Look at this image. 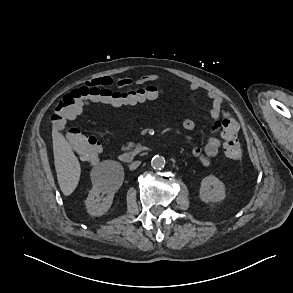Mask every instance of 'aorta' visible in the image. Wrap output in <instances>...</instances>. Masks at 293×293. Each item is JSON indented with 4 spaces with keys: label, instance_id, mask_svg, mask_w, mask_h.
<instances>
[{
    "label": "aorta",
    "instance_id": "obj_1",
    "mask_svg": "<svg viewBox=\"0 0 293 293\" xmlns=\"http://www.w3.org/2000/svg\"><path fill=\"white\" fill-rule=\"evenodd\" d=\"M165 158L163 156L156 155L151 160V166L155 170H161L165 166Z\"/></svg>",
    "mask_w": 293,
    "mask_h": 293
}]
</instances>
